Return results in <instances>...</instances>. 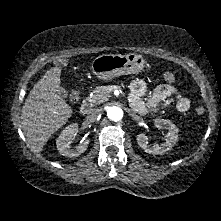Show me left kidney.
<instances>
[{"label":"left kidney","instance_id":"obj_1","mask_svg":"<svg viewBox=\"0 0 221 221\" xmlns=\"http://www.w3.org/2000/svg\"><path fill=\"white\" fill-rule=\"evenodd\" d=\"M155 126L157 128H165L168 130L166 134V142L162 144H154V145H148V137L141 133L137 135V143L138 145L149 154H163L167 151H169L172 146L177 142L178 140V129L176 126L170 121L166 119H155Z\"/></svg>","mask_w":221,"mask_h":221}]
</instances>
